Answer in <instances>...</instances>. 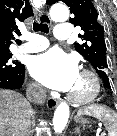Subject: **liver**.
Listing matches in <instances>:
<instances>
[{"mask_svg": "<svg viewBox=\"0 0 117 136\" xmlns=\"http://www.w3.org/2000/svg\"><path fill=\"white\" fill-rule=\"evenodd\" d=\"M32 112L20 93L0 90V136H26Z\"/></svg>", "mask_w": 117, "mask_h": 136, "instance_id": "1", "label": "liver"}]
</instances>
